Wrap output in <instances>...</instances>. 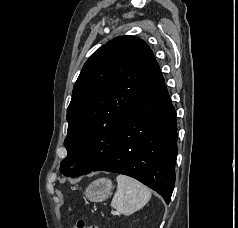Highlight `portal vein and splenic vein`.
I'll return each mask as SVG.
<instances>
[{
    "mask_svg": "<svg viewBox=\"0 0 238 228\" xmlns=\"http://www.w3.org/2000/svg\"><path fill=\"white\" fill-rule=\"evenodd\" d=\"M112 214H113V215H115V214H116V212H112Z\"/></svg>",
    "mask_w": 238,
    "mask_h": 228,
    "instance_id": "obj_1",
    "label": "portal vein and splenic vein"
}]
</instances>
